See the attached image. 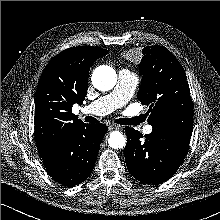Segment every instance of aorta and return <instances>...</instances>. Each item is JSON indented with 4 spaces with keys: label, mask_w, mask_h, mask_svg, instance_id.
<instances>
[{
    "label": "aorta",
    "mask_w": 220,
    "mask_h": 220,
    "mask_svg": "<svg viewBox=\"0 0 220 220\" xmlns=\"http://www.w3.org/2000/svg\"><path fill=\"white\" fill-rule=\"evenodd\" d=\"M117 82V74L115 70L109 66H99L92 74V83L95 88L100 91L111 90ZM110 147L114 149H121L126 144V138L119 131L110 133L108 139Z\"/></svg>",
    "instance_id": "762f6f07"
}]
</instances>
